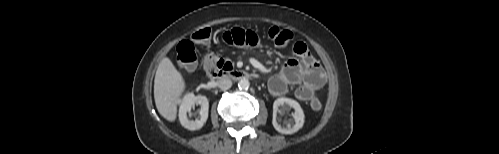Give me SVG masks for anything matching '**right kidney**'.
Returning <instances> with one entry per match:
<instances>
[{"instance_id": "right-kidney-1", "label": "right kidney", "mask_w": 499, "mask_h": 154, "mask_svg": "<svg viewBox=\"0 0 499 154\" xmlns=\"http://www.w3.org/2000/svg\"><path fill=\"white\" fill-rule=\"evenodd\" d=\"M195 105H200L199 111L200 119L190 120L188 115L191 116V108ZM209 102L205 96H195L193 93H188L181 101L179 109V119L183 127L189 130L200 129L208 118Z\"/></svg>"}]
</instances>
